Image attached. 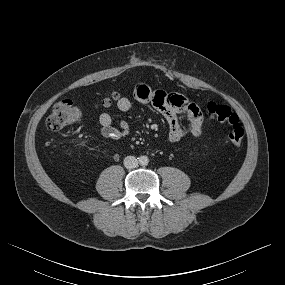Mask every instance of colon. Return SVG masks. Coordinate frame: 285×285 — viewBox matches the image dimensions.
Wrapping results in <instances>:
<instances>
[{
	"label": "colon",
	"mask_w": 285,
	"mask_h": 285,
	"mask_svg": "<svg viewBox=\"0 0 285 285\" xmlns=\"http://www.w3.org/2000/svg\"><path fill=\"white\" fill-rule=\"evenodd\" d=\"M117 98L116 93H111L102 101L103 105H109ZM207 115L228 127V139L236 146L243 141L245 131L238 116L225 105L209 103L207 105ZM82 118V110L71 100H61L57 102L46 120L48 129L58 131L62 128L78 123Z\"/></svg>",
	"instance_id": "1"
}]
</instances>
